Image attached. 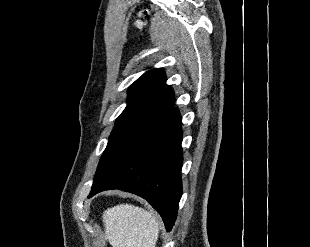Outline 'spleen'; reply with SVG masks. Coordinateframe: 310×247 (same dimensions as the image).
Masks as SVG:
<instances>
[{
    "instance_id": "spleen-1",
    "label": "spleen",
    "mask_w": 310,
    "mask_h": 247,
    "mask_svg": "<svg viewBox=\"0 0 310 247\" xmlns=\"http://www.w3.org/2000/svg\"><path fill=\"white\" fill-rule=\"evenodd\" d=\"M105 238L112 247H156L159 222L156 216L131 204H120L103 212Z\"/></svg>"
}]
</instances>
